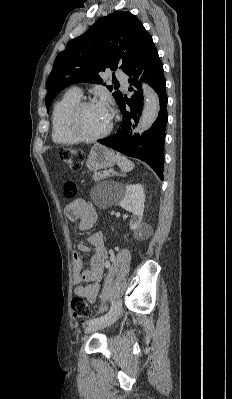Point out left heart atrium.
Returning a JSON list of instances; mask_svg holds the SVG:
<instances>
[{
	"label": "left heart atrium",
	"mask_w": 232,
	"mask_h": 399,
	"mask_svg": "<svg viewBox=\"0 0 232 399\" xmlns=\"http://www.w3.org/2000/svg\"><path fill=\"white\" fill-rule=\"evenodd\" d=\"M100 105L102 106L103 111L106 114V116L108 117V119L111 120L113 117V110H112V107L110 106V104L102 103Z\"/></svg>",
	"instance_id": "obj_1"
}]
</instances>
